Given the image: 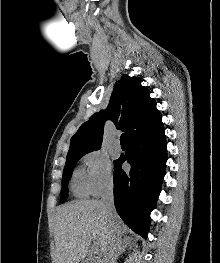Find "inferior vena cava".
I'll use <instances>...</instances> for the list:
<instances>
[{"label": "inferior vena cava", "mask_w": 220, "mask_h": 263, "mask_svg": "<svg viewBox=\"0 0 220 263\" xmlns=\"http://www.w3.org/2000/svg\"><path fill=\"white\" fill-rule=\"evenodd\" d=\"M101 205L111 225L110 244L104 261L105 263H116L119 248L121 246V232L115 225V219L118 215L114 206V185L112 180L107 182L103 187Z\"/></svg>", "instance_id": "inferior-vena-cava-1"}]
</instances>
